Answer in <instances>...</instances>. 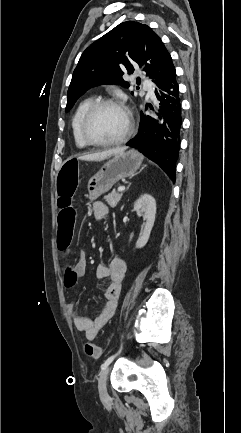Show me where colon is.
<instances>
[{
  "instance_id": "5ec220e1",
  "label": "colon",
  "mask_w": 241,
  "mask_h": 433,
  "mask_svg": "<svg viewBox=\"0 0 241 433\" xmlns=\"http://www.w3.org/2000/svg\"><path fill=\"white\" fill-rule=\"evenodd\" d=\"M81 160L79 157H63L61 165L56 177V190L58 201L59 217L56 218V225L59 230L57 246L63 252L69 251L73 236L76 233L77 216H79V207H71L76 194L77 178L80 174L79 165ZM76 279L74 271L68 269L66 272V284L72 285ZM86 356L92 359L101 357L102 348L93 343H86L84 346Z\"/></svg>"
}]
</instances>
